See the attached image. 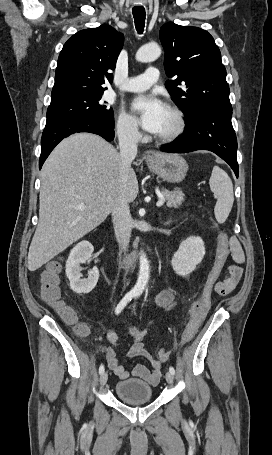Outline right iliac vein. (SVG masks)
<instances>
[{"mask_svg":"<svg viewBox=\"0 0 272 455\" xmlns=\"http://www.w3.org/2000/svg\"><path fill=\"white\" fill-rule=\"evenodd\" d=\"M108 380V374L107 372H103L100 376V385L104 386Z\"/></svg>","mask_w":272,"mask_h":455,"instance_id":"right-iliac-vein-1","label":"right iliac vein"}]
</instances>
